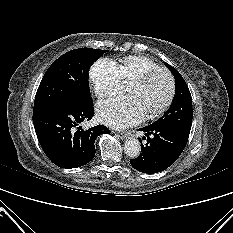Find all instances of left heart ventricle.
<instances>
[{"label":"left heart ventricle","mask_w":233,"mask_h":233,"mask_svg":"<svg viewBox=\"0 0 233 233\" xmlns=\"http://www.w3.org/2000/svg\"><path fill=\"white\" fill-rule=\"evenodd\" d=\"M127 91L139 99L146 114L165 102L169 93V80L165 74L157 73L144 84L130 83Z\"/></svg>","instance_id":"obj_1"}]
</instances>
